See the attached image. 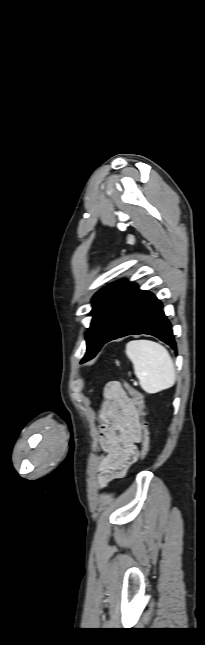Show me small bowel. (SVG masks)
<instances>
[{"label": "small bowel", "instance_id": "small-bowel-1", "mask_svg": "<svg viewBox=\"0 0 205 645\" xmlns=\"http://www.w3.org/2000/svg\"><path fill=\"white\" fill-rule=\"evenodd\" d=\"M99 420L98 445L104 452L96 462L100 488L122 478L138 458L141 427L137 409L123 391L108 385L104 390Z\"/></svg>", "mask_w": 205, "mask_h": 645}]
</instances>
